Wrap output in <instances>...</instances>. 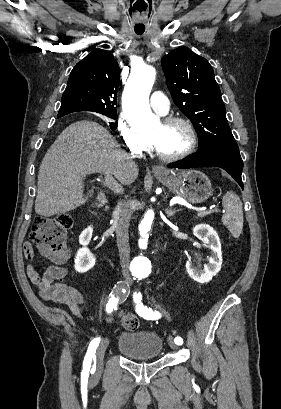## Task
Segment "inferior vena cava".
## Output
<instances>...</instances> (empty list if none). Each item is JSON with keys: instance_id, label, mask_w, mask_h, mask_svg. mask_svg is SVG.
<instances>
[{"instance_id": "inferior-vena-cava-1", "label": "inferior vena cava", "mask_w": 281, "mask_h": 409, "mask_svg": "<svg viewBox=\"0 0 281 409\" xmlns=\"http://www.w3.org/2000/svg\"><path fill=\"white\" fill-rule=\"evenodd\" d=\"M131 215L129 211H120L118 219H116V239L117 247L119 249L120 265L122 275L130 281L129 275V235L128 229L130 225Z\"/></svg>"}]
</instances>
